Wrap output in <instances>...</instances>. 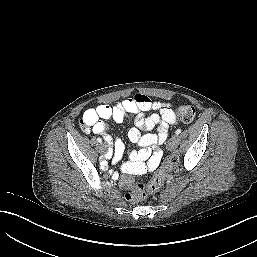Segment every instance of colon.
Here are the masks:
<instances>
[{
  "mask_svg": "<svg viewBox=\"0 0 257 257\" xmlns=\"http://www.w3.org/2000/svg\"><path fill=\"white\" fill-rule=\"evenodd\" d=\"M177 118L179 121L183 123H191L195 116L196 111L195 108L191 105H181L176 110ZM178 159L174 156H170L163 167L153 176L148 185L146 186L144 183L136 184L132 192L126 194L127 200L139 201L146 197V190L151 192L158 191L166 177L169 175L172 168L177 164ZM123 184L125 186H131L132 180L129 176H125L123 178Z\"/></svg>",
  "mask_w": 257,
  "mask_h": 257,
  "instance_id": "5ec220e1",
  "label": "colon"
}]
</instances>
